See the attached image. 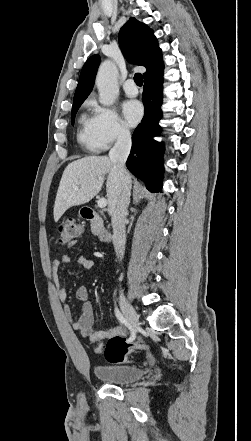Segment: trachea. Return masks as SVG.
Instances as JSON below:
<instances>
[{"mask_svg": "<svg viewBox=\"0 0 251 441\" xmlns=\"http://www.w3.org/2000/svg\"><path fill=\"white\" fill-rule=\"evenodd\" d=\"M134 81L138 86H142L143 84L142 75L140 73H136L134 76Z\"/></svg>", "mask_w": 251, "mask_h": 441, "instance_id": "trachea-1", "label": "trachea"}]
</instances>
